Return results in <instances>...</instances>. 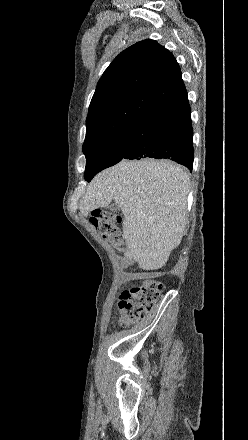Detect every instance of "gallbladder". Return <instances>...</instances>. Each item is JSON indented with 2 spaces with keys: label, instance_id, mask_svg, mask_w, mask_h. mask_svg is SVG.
<instances>
[{
  "label": "gallbladder",
  "instance_id": "1",
  "mask_svg": "<svg viewBox=\"0 0 248 440\" xmlns=\"http://www.w3.org/2000/svg\"><path fill=\"white\" fill-rule=\"evenodd\" d=\"M108 208L112 212H115V211L119 210V206L116 203L111 204Z\"/></svg>",
  "mask_w": 248,
  "mask_h": 440
}]
</instances>
